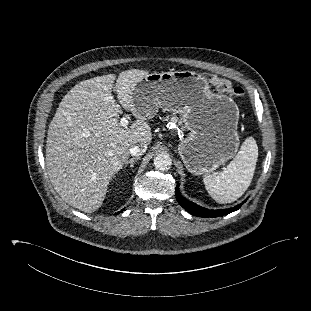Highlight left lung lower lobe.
<instances>
[{
    "label": "left lung lower lobe",
    "mask_w": 311,
    "mask_h": 311,
    "mask_svg": "<svg viewBox=\"0 0 311 311\" xmlns=\"http://www.w3.org/2000/svg\"><path fill=\"white\" fill-rule=\"evenodd\" d=\"M176 198L177 201L179 202V204L186 210L188 211L190 214L194 215V216H199V217H218V216H223V215H227L233 211L238 210L242 204L237 205L233 208H229V209H224V210H209L203 207L198 206L197 204L185 199L179 191V185L177 184L176 186Z\"/></svg>",
    "instance_id": "obj_1"
}]
</instances>
